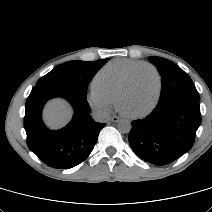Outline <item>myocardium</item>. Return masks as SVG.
<instances>
[{
    "label": "myocardium",
    "instance_id": "myocardium-1",
    "mask_svg": "<svg viewBox=\"0 0 212 212\" xmlns=\"http://www.w3.org/2000/svg\"><path fill=\"white\" fill-rule=\"evenodd\" d=\"M142 68H149L151 69L154 74L156 75V78H157V93H156V97L153 101V103L151 104V106L141 112V113H136V114H131V113H126L122 110L121 108V100L125 94V92L128 90L132 80H133V77L134 75ZM161 93H162V76L159 72V70L152 64L150 63H142L136 67H134L130 72L129 74L127 75L126 79L124 80V82L122 83L119 91H118V94H117V107L118 109H120L124 115H126L127 117H130V118H133V119H138V118H143L145 116H147L148 114H150L154 109L155 107L157 106L159 100H160V97H161Z\"/></svg>",
    "mask_w": 212,
    "mask_h": 212
}]
</instances>
